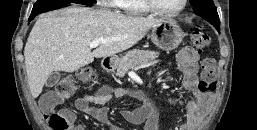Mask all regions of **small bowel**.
<instances>
[{"label": "small bowel", "instance_id": "1", "mask_svg": "<svg viewBox=\"0 0 257 130\" xmlns=\"http://www.w3.org/2000/svg\"><path fill=\"white\" fill-rule=\"evenodd\" d=\"M198 61L199 54L191 47H185L177 54V65L183 75L182 87L192 93V99L185 107V119L177 130H195L212 98L210 94L202 93L198 89ZM126 95L141 97L144 99V102L135 109L122 110V117L134 125L145 122V130H160L161 120L158 110L139 91L102 86L94 93L82 94L76 99L75 105L78 110L100 122L108 130H123L111 121L108 108L104 105L112 99H121ZM67 97L56 92H48L41 97L40 105L46 111H53ZM169 102L173 105L176 104V100L173 99H170ZM91 103L97 106H90ZM58 112L68 117L70 121L69 130H84V127L77 123L76 116L72 111L62 109Z\"/></svg>", "mask_w": 257, "mask_h": 130}]
</instances>
